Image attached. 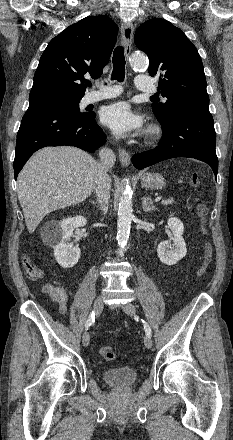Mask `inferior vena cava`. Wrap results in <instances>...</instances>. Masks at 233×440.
<instances>
[{
	"mask_svg": "<svg viewBox=\"0 0 233 440\" xmlns=\"http://www.w3.org/2000/svg\"><path fill=\"white\" fill-rule=\"evenodd\" d=\"M100 162L98 163V174L94 185L97 201L101 211L106 213L110 198L111 178L108 171L112 168L116 156L111 149L103 148L99 152Z\"/></svg>",
	"mask_w": 233,
	"mask_h": 440,
	"instance_id": "obj_1",
	"label": "inferior vena cava"
}]
</instances>
